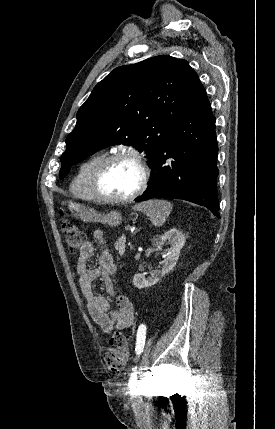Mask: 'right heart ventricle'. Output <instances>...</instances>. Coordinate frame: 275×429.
<instances>
[{
	"mask_svg": "<svg viewBox=\"0 0 275 429\" xmlns=\"http://www.w3.org/2000/svg\"><path fill=\"white\" fill-rule=\"evenodd\" d=\"M107 156L106 152H99L86 159L75 173L70 189L78 198L84 201H94L91 190V178L99 163Z\"/></svg>",
	"mask_w": 275,
	"mask_h": 429,
	"instance_id": "obj_1",
	"label": "right heart ventricle"
}]
</instances>
